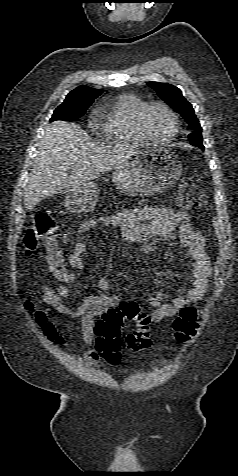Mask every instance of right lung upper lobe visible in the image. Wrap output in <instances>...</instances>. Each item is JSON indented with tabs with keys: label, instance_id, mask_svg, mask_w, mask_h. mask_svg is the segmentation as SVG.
<instances>
[{
	"label": "right lung upper lobe",
	"instance_id": "cb5924a9",
	"mask_svg": "<svg viewBox=\"0 0 238 476\" xmlns=\"http://www.w3.org/2000/svg\"><path fill=\"white\" fill-rule=\"evenodd\" d=\"M101 92V89H94L86 85H81L67 95L65 102L91 105Z\"/></svg>",
	"mask_w": 238,
	"mask_h": 476
}]
</instances>
